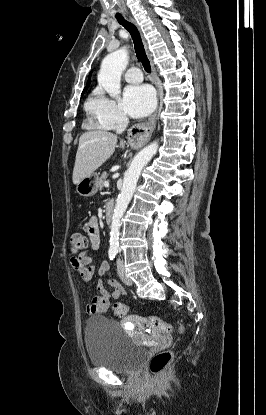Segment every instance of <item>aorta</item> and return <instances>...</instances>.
<instances>
[{
    "mask_svg": "<svg viewBox=\"0 0 266 415\" xmlns=\"http://www.w3.org/2000/svg\"><path fill=\"white\" fill-rule=\"evenodd\" d=\"M127 64L128 51L126 48H121L108 54L102 61L101 69L98 75V82L111 97H117L121 92V75ZM157 149V142H153L143 148L134 157L130 167L124 175L123 186L114 208L112 223L110 226V250H118L119 231L122 217L134 194L142 169L156 154Z\"/></svg>",
    "mask_w": 266,
    "mask_h": 415,
    "instance_id": "1",
    "label": "aorta"
}]
</instances>
